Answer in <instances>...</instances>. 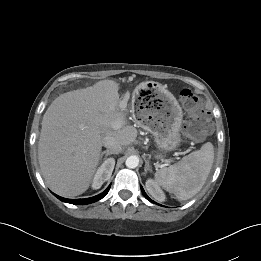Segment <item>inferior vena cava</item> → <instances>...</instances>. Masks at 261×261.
I'll list each match as a JSON object with an SVG mask.
<instances>
[{
    "label": "inferior vena cava",
    "instance_id": "inferior-vena-cava-1",
    "mask_svg": "<svg viewBox=\"0 0 261 261\" xmlns=\"http://www.w3.org/2000/svg\"><path fill=\"white\" fill-rule=\"evenodd\" d=\"M103 145L110 151L118 154L122 151L121 144L112 136H106L103 140Z\"/></svg>",
    "mask_w": 261,
    "mask_h": 261
}]
</instances>
